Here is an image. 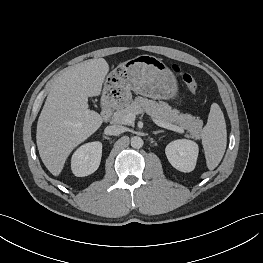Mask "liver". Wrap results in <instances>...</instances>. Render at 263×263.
I'll use <instances>...</instances> for the list:
<instances>
[{
	"label": "liver",
	"mask_w": 263,
	"mask_h": 263,
	"mask_svg": "<svg viewBox=\"0 0 263 263\" xmlns=\"http://www.w3.org/2000/svg\"><path fill=\"white\" fill-rule=\"evenodd\" d=\"M109 65L103 58L69 67L54 81L40 113L36 142L46 168L58 176L71 151L103 123L88 97L99 96Z\"/></svg>",
	"instance_id": "6515ba94"
}]
</instances>
